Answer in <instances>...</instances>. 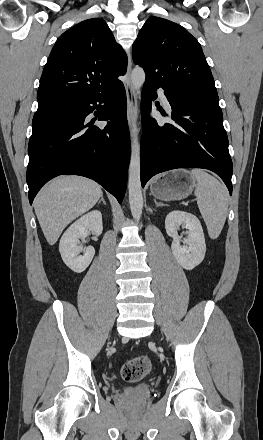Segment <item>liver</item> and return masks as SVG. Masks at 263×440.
<instances>
[{
	"label": "liver",
	"instance_id": "obj_1",
	"mask_svg": "<svg viewBox=\"0 0 263 440\" xmlns=\"http://www.w3.org/2000/svg\"><path fill=\"white\" fill-rule=\"evenodd\" d=\"M103 195L101 186L84 177L60 176L47 184L34 202V209L47 242L54 245L65 227Z\"/></svg>",
	"mask_w": 263,
	"mask_h": 440
}]
</instances>
